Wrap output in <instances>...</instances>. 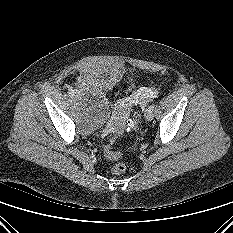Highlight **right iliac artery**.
<instances>
[{"label": "right iliac artery", "mask_w": 233, "mask_h": 233, "mask_svg": "<svg viewBox=\"0 0 233 233\" xmlns=\"http://www.w3.org/2000/svg\"><path fill=\"white\" fill-rule=\"evenodd\" d=\"M68 93H69L70 96H74V91L73 90H69Z\"/></svg>", "instance_id": "82829eb1"}]
</instances>
